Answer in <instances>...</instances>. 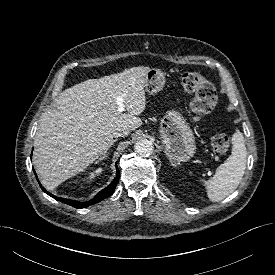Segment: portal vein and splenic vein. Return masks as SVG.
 I'll return each mask as SVG.
<instances>
[{"label":"portal vein and splenic vein","mask_w":275,"mask_h":275,"mask_svg":"<svg viewBox=\"0 0 275 275\" xmlns=\"http://www.w3.org/2000/svg\"><path fill=\"white\" fill-rule=\"evenodd\" d=\"M116 101H117V105H118V112L122 113L125 110V104H124V100H123V96L118 95L116 97Z\"/></svg>","instance_id":"obj_1"}]
</instances>
